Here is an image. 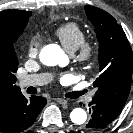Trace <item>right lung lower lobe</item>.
<instances>
[{"label":"right lung lower lobe","instance_id":"98d812e1","mask_svg":"<svg viewBox=\"0 0 133 133\" xmlns=\"http://www.w3.org/2000/svg\"><path fill=\"white\" fill-rule=\"evenodd\" d=\"M47 100L39 96L25 98L21 90L10 95L0 105V132L19 133L29 128Z\"/></svg>","mask_w":133,"mask_h":133}]
</instances>
